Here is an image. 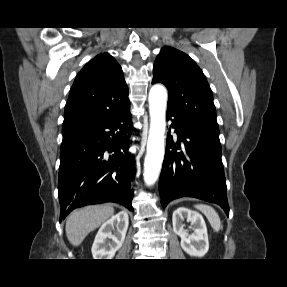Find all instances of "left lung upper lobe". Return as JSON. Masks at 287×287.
Masks as SVG:
<instances>
[{"mask_svg":"<svg viewBox=\"0 0 287 287\" xmlns=\"http://www.w3.org/2000/svg\"><path fill=\"white\" fill-rule=\"evenodd\" d=\"M157 82L168 89V111L219 141L211 88L202 70L187 54L172 47H163L153 67L152 83Z\"/></svg>","mask_w":287,"mask_h":287,"instance_id":"1","label":"left lung upper lobe"}]
</instances>
